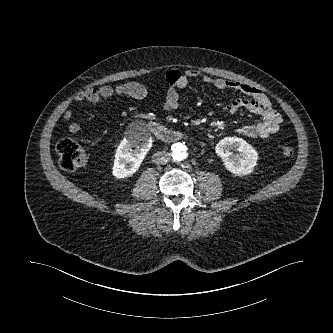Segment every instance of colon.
Instances as JSON below:
<instances>
[{
    "label": "colon",
    "instance_id": "1",
    "mask_svg": "<svg viewBox=\"0 0 333 333\" xmlns=\"http://www.w3.org/2000/svg\"><path fill=\"white\" fill-rule=\"evenodd\" d=\"M56 151L59 156V167L65 172L79 169L87 162L85 149L71 138L58 141ZM281 153L285 158H291L294 155V150L290 146H284Z\"/></svg>",
    "mask_w": 333,
    "mask_h": 333
}]
</instances>
